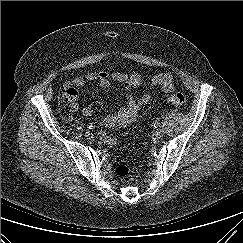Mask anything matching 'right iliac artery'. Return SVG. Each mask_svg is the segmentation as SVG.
<instances>
[{
	"label": "right iliac artery",
	"mask_w": 243,
	"mask_h": 243,
	"mask_svg": "<svg viewBox=\"0 0 243 243\" xmlns=\"http://www.w3.org/2000/svg\"><path fill=\"white\" fill-rule=\"evenodd\" d=\"M88 128H89L90 130H91V129H95V125L91 124V125H89Z\"/></svg>",
	"instance_id": "82829eb1"
}]
</instances>
